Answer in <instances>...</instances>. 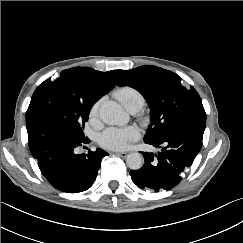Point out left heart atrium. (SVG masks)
Masks as SVG:
<instances>
[{
	"label": "left heart atrium",
	"mask_w": 243,
	"mask_h": 243,
	"mask_svg": "<svg viewBox=\"0 0 243 243\" xmlns=\"http://www.w3.org/2000/svg\"><path fill=\"white\" fill-rule=\"evenodd\" d=\"M139 136L140 132L135 126L110 127L99 135L98 142L105 148L122 150L127 148L131 142L137 140Z\"/></svg>",
	"instance_id": "39dd6f15"
}]
</instances>
